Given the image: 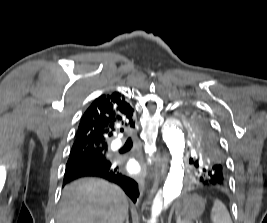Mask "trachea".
<instances>
[{"label":"trachea","mask_w":267,"mask_h":223,"mask_svg":"<svg viewBox=\"0 0 267 223\" xmlns=\"http://www.w3.org/2000/svg\"><path fill=\"white\" fill-rule=\"evenodd\" d=\"M128 141L131 142V139L129 138Z\"/></svg>","instance_id":"3493384b"}]
</instances>
